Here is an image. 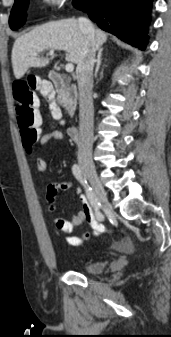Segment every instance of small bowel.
I'll use <instances>...</instances> for the list:
<instances>
[{
	"label": "small bowel",
	"mask_w": 171,
	"mask_h": 337,
	"mask_svg": "<svg viewBox=\"0 0 171 337\" xmlns=\"http://www.w3.org/2000/svg\"><path fill=\"white\" fill-rule=\"evenodd\" d=\"M64 139V133L60 130H54L49 133L43 134L39 140V148L43 149L50 141H60ZM36 167L40 173H45L48 169L46 159L42 154H38L36 159ZM74 188L71 181H62L51 183L47 186L46 200L49 204L48 210L51 214L52 223L55 229L63 234H70L75 227L86 222L90 225L92 231L87 233L89 238H95L104 231V226L100 223L94 214L93 207L88 198L81 192L79 188H75L76 194L79 196L82 204V209L75 212L71 219H64L55 214L56 206L55 200L59 192L68 191ZM89 238L82 236H67L66 242L71 246H79L85 243Z\"/></svg>",
	"instance_id": "small-bowel-1"
}]
</instances>
